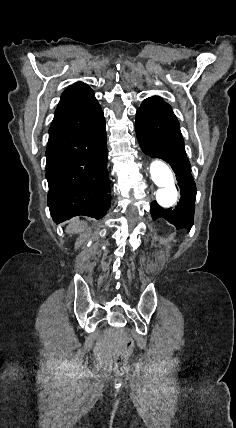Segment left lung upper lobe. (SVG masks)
<instances>
[{
	"mask_svg": "<svg viewBox=\"0 0 236 428\" xmlns=\"http://www.w3.org/2000/svg\"><path fill=\"white\" fill-rule=\"evenodd\" d=\"M145 101H158V102L166 103L163 101V99L161 97H158V96L147 98Z\"/></svg>",
	"mask_w": 236,
	"mask_h": 428,
	"instance_id": "5c2ea615",
	"label": "left lung upper lobe"
}]
</instances>
